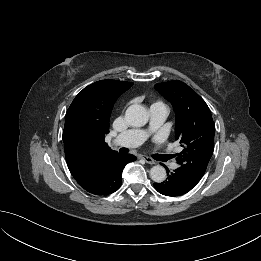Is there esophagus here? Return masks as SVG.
<instances>
[{"instance_id":"esophagus-1","label":"esophagus","mask_w":261,"mask_h":261,"mask_svg":"<svg viewBox=\"0 0 261 261\" xmlns=\"http://www.w3.org/2000/svg\"><path fill=\"white\" fill-rule=\"evenodd\" d=\"M143 159L145 160L146 163L148 164H155V161L151 159L150 157L144 156Z\"/></svg>"}]
</instances>
